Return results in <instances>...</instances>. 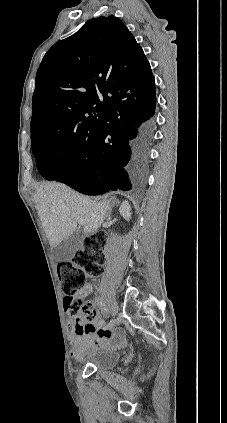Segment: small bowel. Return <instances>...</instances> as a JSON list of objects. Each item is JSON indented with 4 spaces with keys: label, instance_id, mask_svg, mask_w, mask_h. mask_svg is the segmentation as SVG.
I'll return each instance as SVG.
<instances>
[{
    "label": "small bowel",
    "instance_id": "c3829d8e",
    "mask_svg": "<svg viewBox=\"0 0 227 423\" xmlns=\"http://www.w3.org/2000/svg\"><path fill=\"white\" fill-rule=\"evenodd\" d=\"M90 290L87 287L81 294H86ZM70 354L72 357L78 358L86 351L102 348L114 347L118 348L124 344V334L121 329H111L103 327L101 320L97 319L95 313L91 321L84 322L82 320L70 321Z\"/></svg>",
    "mask_w": 227,
    "mask_h": 423
}]
</instances>
